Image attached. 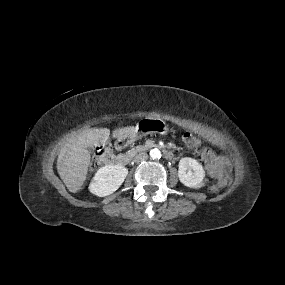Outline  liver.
I'll return each mask as SVG.
<instances>
[{
	"mask_svg": "<svg viewBox=\"0 0 285 285\" xmlns=\"http://www.w3.org/2000/svg\"><path fill=\"white\" fill-rule=\"evenodd\" d=\"M135 130L134 127L121 128L116 132L117 137H124ZM110 135L108 128L88 129L74 139L68 146L60 166V176L70 192H77L83 185L90 164L89 146L105 143Z\"/></svg>",
	"mask_w": 285,
	"mask_h": 285,
	"instance_id": "6515ba94",
	"label": "liver"
}]
</instances>
